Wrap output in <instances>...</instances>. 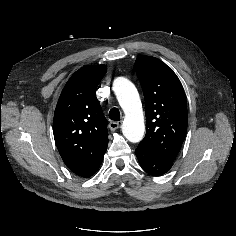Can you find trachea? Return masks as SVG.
<instances>
[{
    "mask_svg": "<svg viewBox=\"0 0 236 236\" xmlns=\"http://www.w3.org/2000/svg\"><path fill=\"white\" fill-rule=\"evenodd\" d=\"M109 118L113 121H120V111L117 108H112L109 111Z\"/></svg>",
    "mask_w": 236,
    "mask_h": 236,
    "instance_id": "trachea-1",
    "label": "trachea"
}]
</instances>
